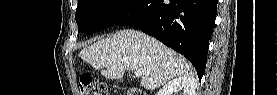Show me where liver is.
Masks as SVG:
<instances>
[{
    "label": "liver",
    "instance_id": "liver-1",
    "mask_svg": "<svg viewBox=\"0 0 277 95\" xmlns=\"http://www.w3.org/2000/svg\"><path fill=\"white\" fill-rule=\"evenodd\" d=\"M79 57L107 79H121L126 70L141 71V86L154 90L167 81L194 76L190 64L143 32L120 30L81 50Z\"/></svg>",
    "mask_w": 277,
    "mask_h": 95
}]
</instances>
